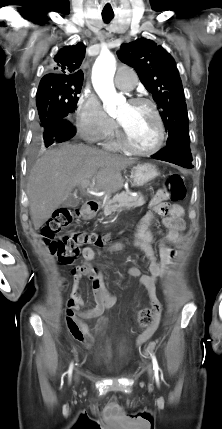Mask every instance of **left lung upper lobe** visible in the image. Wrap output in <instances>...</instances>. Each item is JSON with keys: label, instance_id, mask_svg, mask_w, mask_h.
<instances>
[{"label": "left lung upper lobe", "instance_id": "obj_1", "mask_svg": "<svg viewBox=\"0 0 222 429\" xmlns=\"http://www.w3.org/2000/svg\"><path fill=\"white\" fill-rule=\"evenodd\" d=\"M117 54L122 62L136 70L142 84L153 95L169 135L167 144L190 143L184 90L172 56L146 38L123 44Z\"/></svg>", "mask_w": 222, "mask_h": 429}]
</instances>
